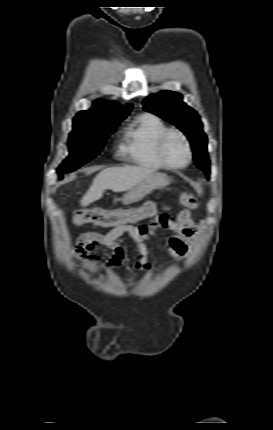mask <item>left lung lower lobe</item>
Wrapping results in <instances>:
<instances>
[{"label":"left lung lower lobe","instance_id":"0a47b994","mask_svg":"<svg viewBox=\"0 0 273 430\" xmlns=\"http://www.w3.org/2000/svg\"><path fill=\"white\" fill-rule=\"evenodd\" d=\"M204 172L209 173V168H207Z\"/></svg>","mask_w":273,"mask_h":430}]
</instances>
